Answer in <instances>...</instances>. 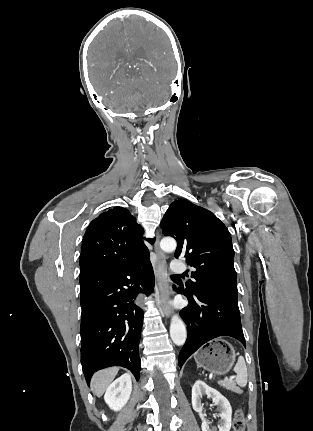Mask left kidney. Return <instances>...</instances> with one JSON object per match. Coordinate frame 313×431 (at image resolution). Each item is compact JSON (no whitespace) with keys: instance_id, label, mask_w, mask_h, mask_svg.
<instances>
[{"instance_id":"obj_1","label":"left kidney","mask_w":313,"mask_h":431,"mask_svg":"<svg viewBox=\"0 0 313 431\" xmlns=\"http://www.w3.org/2000/svg\"><path fill=\"white\" fill-rule=\"evenodd\" d=\"M205 394L208 398H212V401L215 405L219 406V416L221 418L219 431H230L232 408L229 401L217 390L209 387L203 381L198 380L192 387V407L196 412L199 413V416L202 420V431H211L209 428L210 422L206 420L205 415L203 414V404L201 403L202 396Z\"/></svg>"}]
</instances>
